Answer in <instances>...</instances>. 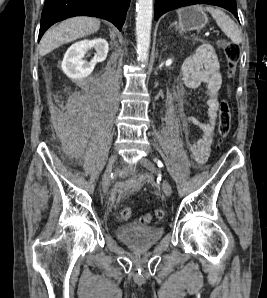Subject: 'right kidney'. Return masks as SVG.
Returning <instances> with one entry per match:
<instances>
[{"label": "right kidney", "mask_w": 267, "mask_h": 298, "mask_svg": "<svg viewBox=\"0 0 267 298\" xmlns=\"http://www.w3.org/2000/svg\"><path fill=\"white\" fill-rule=\"evenodd\" d=\"M94 48L96 53L90 62L83 60L86 52ZM108 43L103 38L82 40L71 45L66 51L62 70L71 79H83L89 76L97 63L103 62L108 54Z\"/></svg>", "instance_id": "ca27d5eb"}]
</instances>
